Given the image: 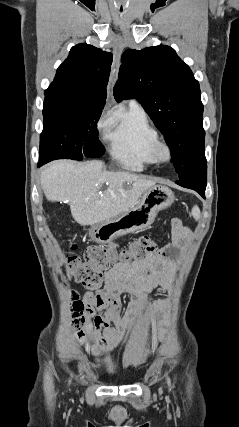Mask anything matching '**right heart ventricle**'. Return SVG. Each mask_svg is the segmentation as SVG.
I'll return each mask as SVG.
<instances>
[{
	"label": "right heart ventricle",
	"mask_w": 239,
	"mask_h": 427,
	"mask_svg": "<svg viewBox=\"0 0 239 427\" xmlns=\"http://www.w3.org/2000/svg\"><path fill=\"white\" fill-rule=\"evenodd\" d=\"M105 138L111 156L124 167L143 171L155 163L151 147L159 135L139 105L130 104L117 112L108 123Z\"/></svg>",
	"instance_id": "right-heart-ventricle-1"
}]
</instances>
